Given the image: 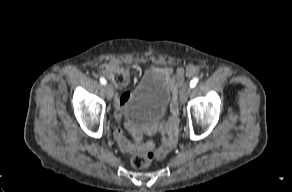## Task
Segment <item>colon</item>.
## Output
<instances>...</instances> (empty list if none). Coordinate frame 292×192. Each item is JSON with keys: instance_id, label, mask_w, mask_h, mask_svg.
<instances>
[{"instance_id": "obj_1", "label": "colon", "mask_w": 292, "mask_h": 192, "mask_svg": "<svg viewBox=\"0 0 292 192\" xmlns=\"http://www.w3.org/2000/svg\"><path fill=\"white\" fill-rule=\"evenodd\" d=\"M103 72L118 88L125 87L129 83V72L123 66L114 64L106 65L103 67ZM155 156V152H149L148 154H137L131 158V164L137 169L146 168L150 165Z\"/></svg>"}]
</instances>
